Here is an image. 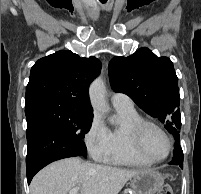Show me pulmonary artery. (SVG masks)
<instances>
[{
	"label": "pulmonary artery",
	"mask_w": 201,
	"mask_h": 194,
	"mask_svg": "<svg viewBox=\"0 0 201 194\" xmlns=\"http://www.w3.org/2000/svg\"><path fill=\"white\" fill-rule=\"evenodd\" d=\"M114 107L133 108V102L127 95L123 93H114L111 97Z\"/></svg>",
	"instance_id": "pulmonary-artery-1"
}]
</instances>
